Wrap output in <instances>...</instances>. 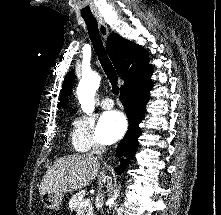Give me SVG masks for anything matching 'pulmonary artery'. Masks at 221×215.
I'll return each mask as SVG.
<instances>
[{"instance_id": "1", "label": "pulmonary artery", "mask_w": 221, "mask_h": 215, "mask_svg": "<svg viewBox=\"0 0 221 215\" xmlns=\"http://www.w3.org/2000/svg\"><path fill=\"white\" fill-rule=\"evenodd\" d=\"M101 105L104 109H111L114 106V102L111 98H105L102 100Z\"/></svg>"}]
</instances>
